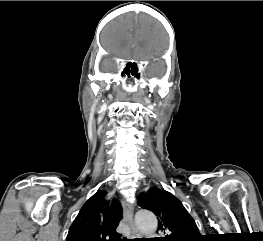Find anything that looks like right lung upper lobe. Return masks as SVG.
Instances as JSON below:
<instances>
[{
	"instance_id": "cb5924a9",
	"label": "right lung upper lobe",
	"mask_w": 263,
	"mask_h": 241,
	"mask_svg": "<svg viewBox=\"0 0 263 241\" xmlns=\"http://www.w3.org/2000/svg\"><path fill=\"white\" fill-rule=\"evenodd\" d=\"M104 190L88 199L72 223L66 241H122L116 233L122 219V207L118 200L111 204L105 199Z\"/></svg>"
}]
</instances>
